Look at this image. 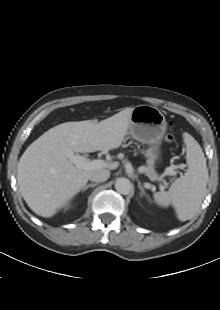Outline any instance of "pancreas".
Listing matches in <instances>:
<instances>
[{
	"instance_id": "1",
	"label": "pancreas",
	"mask_w": 220,
	"mask_h": 310,
	"mask_svg": "<svg viewBox=\"0 0 220 310\" xmlns=\"http://www.w3.org/2000/svg\"><path fill=\"white\" fill-rule=\"evenodd\" d=\"M144 172H145L146 176H148L151 180L157 178V174L154 171V168L152 165H149L148 167H146Z\"/></svg>"
}]
</instances>
